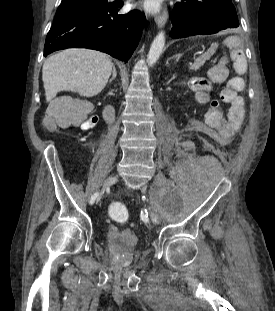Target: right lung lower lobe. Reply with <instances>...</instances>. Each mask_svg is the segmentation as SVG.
Segmentation results:
<instances>
[{"instance_id":"98d812e1","label":"right lung lower lobe","mask_w":275,"mask_h":311,"mask_svg":"<svg viewBox=\"0 0 275 311\" xmlns=\"http://www.w3.org/2000/svg\"><path fill=\"white\" fill-rule=\"evenodd\" d=\"M123 3L65 14L54 19L44 56L65 48H89L127 61L141 37L145 16L138 10L118 14Z\"/></svg>"}]
</instances>
